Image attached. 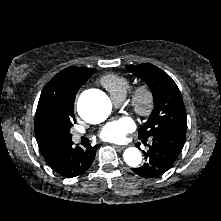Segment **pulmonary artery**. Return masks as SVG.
Listing matches in <instances>:
<instances>
[{
    "instance_id": "e3ab8cb5",
    "label": "pulmonary artery",
    "mask_w": 221,
    "mask_h": 221,
    "mask_svg": "<svg viewBox=\"0 0 221 221\" xmlns=\"http://www.w3.org/2000/svg\"><path fill=\"white\" fill-rule=\"evenodd\" d=\"M124 99L125 98L121 96L112 98L115 105H121L124 102ZM82 136H83L82 132L74 131L72 133V138L74 141H79Z\"/></svg>"
}]
</instances>
